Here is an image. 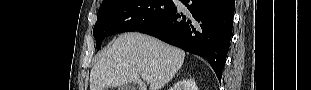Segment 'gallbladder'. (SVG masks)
<instances>
[{"label": "gallbladder", "instance_id": "1", "mask_svg": "<svg viewBox=\"0 0 311 90\" xmlns=\"http://www.w3.org/2000/svg\"><path fill=\"white\" fill-rule=\"evenodd\" d=\"M118 90H135V85L133 84H126L119 86Z\"/></svg>", "mask_w": 311, "mask_h": 90}]
</instances>
